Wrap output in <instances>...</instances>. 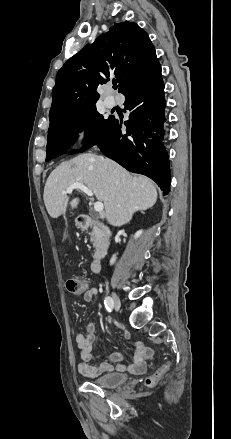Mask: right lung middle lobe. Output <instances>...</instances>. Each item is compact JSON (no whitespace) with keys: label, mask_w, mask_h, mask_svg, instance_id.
<instances>
[{"label":"right lung middle lobe","mask_w":231,"mask_h":439,"mask_svg":"<svg viewBox=\"0 0 231 439\" xmlns=\"http://www.w3.org/2000/svg\"><path fill=\"white\" fill-rule=\"evenodd\" d=\"M112 118L104 119L96 107L84 110L78 114L56 121L49 126L47 137L46 161L61 155L66 148L76 140L77 132L85 129L86 147L71 151L70 154L82 152L95 145L108 130Z\"/></svg>","instance_id":"dd1d6c3e"}]
</instances>
